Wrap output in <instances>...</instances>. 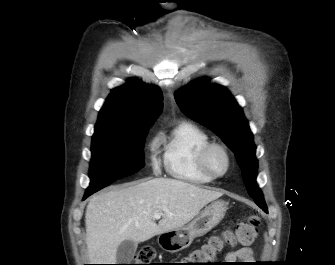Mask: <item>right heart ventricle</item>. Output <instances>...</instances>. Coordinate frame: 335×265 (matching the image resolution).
<instances>
[{
	"label": "right heart ventricle",
	"mask_w": 335,
	"mask_h": 265,
	"mask_svg": "<svg viewBox=\"0 0 335 265\" xmlns=\"http://www.w3.org/2000/svg\"><path fill=\"white\" fill-rule=\"evenodd\" d=\"M210 142L208 133L196 124L187 121L179 123L168 135L159 139L168 174L195 185L212 182L213 178L199 165L200 152Z\"/></svg>",
	"instance_id": "right-heart-ventricle-1"
}]
</instances>
